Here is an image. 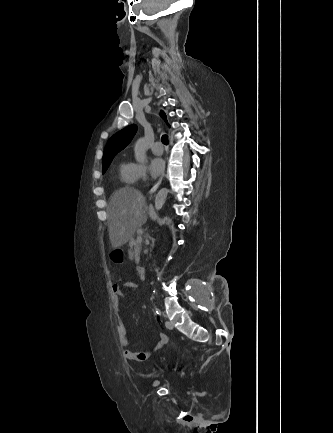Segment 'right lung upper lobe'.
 <instances>
[{
	"label": "right lung upper lobe",
	"instance_id": "1",
	"mask_svg": "<svg viewBox=\"0 0 333 433\" xmlns=\"http://www.w3.org/2000/svg\"><path fill=\"white\" fill-rule=\"evenodd\" d=\"M160 115L167 122L166 115L163 111L160 112ZM136 131L137 125L133 124L119 131L113 137H111L105 147L103 164L111 163L114 156L130 143Z\"/></svg>",
	"mask_w": 333,
	"mask_h": 433
}]
</instances>
